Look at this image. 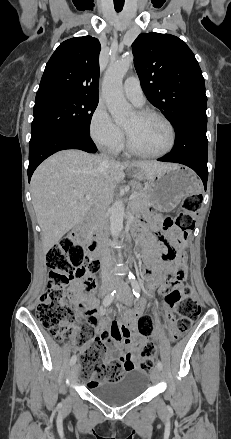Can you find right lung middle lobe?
I'll return each mask as SVG.
<instances>
[{
	"label": "right lung middle lobe",
	"mask_w": 231,
	"mask_h": 439,
	"mask_svg": "<svg viewBox=\"0 0 231 439\" xmlns=\"http://www.w3.org/2000/svg\"><path fill=\"white\" fill-rule=\"evenodd\" d=\"M98 99L58 94L35 100L31 139L58 127H73L90 133L92 115Z\"/></svg>",
	"instance_id": "obj_1"
}]
</instances>
